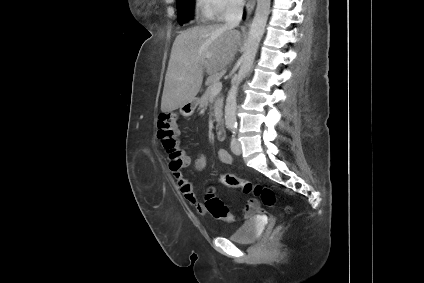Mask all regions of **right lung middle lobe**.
I'll return each instance as SVG.
<instances>
[{
    "label": "right lung middle lobe",
    "mask_w": 424,
    "mask_h": 283,
    "mask_svg": "<svg viewBox=\"0 0 424 283\" xmlns=\"http://www.w3.org/2000/svg\"><path fill=\"white\" fill-rule=\"evenodd\" d=\"M194 0H177L178 22H184L193 18Z\"/></svg>",
    "instance_id": "1"
}]
</instances>
